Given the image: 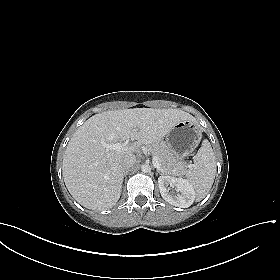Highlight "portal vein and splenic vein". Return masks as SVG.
Segmentation results:
<instances>
[{
  "label": "portal vein and splenic vein",
  "instance_id": "obj_1",
  "mask_svg": "<svg viewBox=\"0 0 280 280\" xmlns=\"http://www.w3.org/2000/svg\"><path fill=\"white\" fill-rule=\"evenodd\" d=\"M137 130V129H136ZM104 147L107 149H114L117 151H123V150H128V146L124 143H115V144H107L104 143ZM153 165L155 168H157L158 170L163 171V169L161 168V165L158 162V158L156 155L153 154V159H152Z\"/></svg>",
  "mask_w": 280,
  "mask_h": 280
}]
</instances>
